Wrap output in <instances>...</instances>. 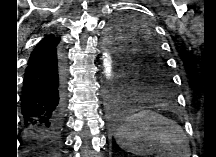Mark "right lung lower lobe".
<instances>
[{
    "instance_id": "obj_1",
    "label": "right lung lower lobe",
    "mask_w": 216,
    "mask_h": 157,
    "mask_svg": "<svg viewBox=\"0 0 216 157\" xmlns=\"http://www.w3.org/2000/svg\"><path fill=\"white\" fill-rule=\"evenodd\" d=\"M63 101V67L56 50L28 62L21 96L28 157H56Z\"/></svg>"
}]
</instances>
